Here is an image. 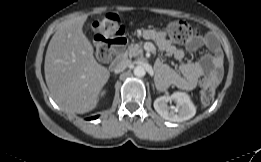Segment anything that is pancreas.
<instances>
[{
  "label": "pancreas",
  "mask_w": 261,
  "mask_h": 162,
  "mask_svg": "<svg viewBox=\"0 0 261 162\" xmlns=\"http://www.w3.org/2000/svg\"><path fill=\"white\" fill-rule=\"evenodd\" d=\"M143 52L142 49V42L136 43V44H131L128 46L127 50L124 52L123 57H136L138 55H141Z\"/></svg>",
  "instance_id": "1"
}]
</instances>
